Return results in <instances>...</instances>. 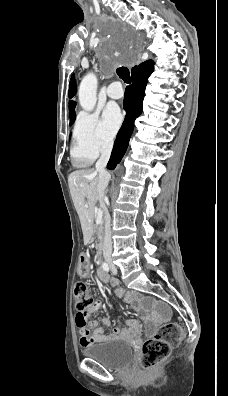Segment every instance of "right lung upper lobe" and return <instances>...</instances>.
I'll return each mask as SVG.
<instances>
[{
	"instance_id": "obj_1",
	"label": "right lung upper lobe",
	"mask_w": 228,
	"mask_h": 396,
	"mask_svg": "<svg viewBox=\"0 0 228 396\" xmlns=\"http://www.w3.org/2000/svg\"><path fill=\"white\" fill-rule=\"evenodd\" d=\"M136 67L137 66H134L131 71H133ZM76 90H77V86H76L75 78H74V75H73L71 80H70L69 98H72L76 94ZM74 107H75V103L70 101V105H69L70 113H74V112H72V109Z\"/></svg>"
}]
</instances>
